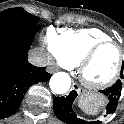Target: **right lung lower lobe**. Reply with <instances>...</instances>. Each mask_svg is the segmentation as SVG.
Wrapping results in <instances>:
<instances>
[{
  "mask_svg": "<svg viewBox=\"0 0 124 124\" xmlns=\"http://www.w3.org/2000/svg\"><path fill=\"white\" fill-rule=\"evenodd\" d=\"M39 30L37 24L0 27V119L16 112L31 85L51 77L45 67L28 62L30 44Z\"/></svg>",
  "mask_w": 124,
  "mask_h": 124,
  "instance_id": "1",
  "label": "right lung lower lobe"
}]
</instances>
